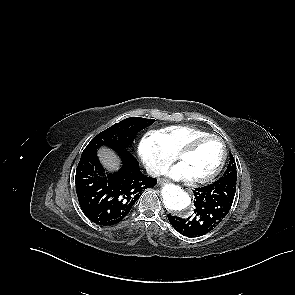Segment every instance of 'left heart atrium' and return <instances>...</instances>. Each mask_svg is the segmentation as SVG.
I'll list each match as a JSON object with an SVG mask.
<instances>
[{"mask_svg": "<svg viewBox=\"0 0 295 295\" xmlns=\"http://www.w3.org/2000/svg\"><path fill=\"white\" fill-rule=\"evenodd\" d=\"M165 174L175 180L190 179V173L183 163H178L165 170Z\"/></svg>", "mask_w": 295, "mask_h": 295, "instance_id": "39dd6f15", "label": "left heart atrium"}]
</instances>
